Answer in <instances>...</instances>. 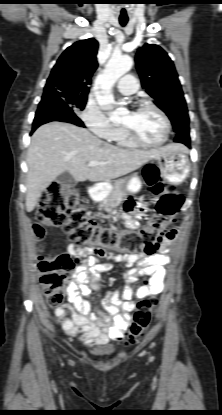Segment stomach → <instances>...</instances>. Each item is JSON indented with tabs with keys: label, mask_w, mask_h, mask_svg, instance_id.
<instances>
[{
	"label": "stomach",
	"mask_w": 222,
	"mask_h": 415,
	"mask_svg": "<svg viewBox=\"0 0 222 415\" xmlns=\"http://www.w3.org/2000/svg\"><path fill=\"white\" fill-rule=\"evenodd\" d=\"M155 160L161 175L170 183L181 184L189 175L190 162L186 151H167L159 155ZM141 186L142 183L139 177L134 176L128 181L127 189L131 193H137Z\"/></svg>",
	"instance_id": "stomach-1"
}]
</instances>
